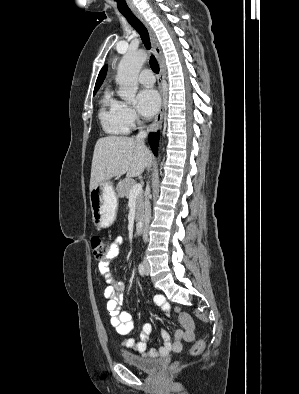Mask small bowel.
<instances>
[{
    "instance_id": "small-bowel-1",
    "label": "small bowel",
    "mask_w": 299,
    "mask_h": 394,
    "mask_svg": "<svg viewBox=\"0 0 299 394\" xmlns=\"http://www.w3.org/2000/svg\"><path fill=\"white\" fill-rule=\"evenodd\" d=\"M123 243L124 239L122 237L116 238L111 243L108 256L99 262L98 270L102 280L107 284L104 290V297L107 299V309L110 314L111 325L118 334L127 336L133 331L134 324L132 315L120 310L124 284L113 275L109 268L110 263L118 257ZM154 302L168 314L170 305L164 296L156 295ZM176 311L178 312L182 329H178L174 333L173 339H171L170 334L166 330H163L162 336L165 343L162 347L158 349L147 348V341L154 330L153 325L149 323L143 325L140 332V341H136L133 338H125L122 342L123 347L131 349L143 357H164L170 352L181 351L183 341L190 342L194 339L195 324L191 316L181 312L179 309H176Z\"/></svg>"
}]
</instances>
